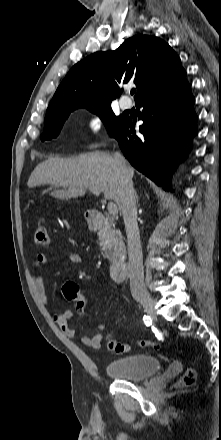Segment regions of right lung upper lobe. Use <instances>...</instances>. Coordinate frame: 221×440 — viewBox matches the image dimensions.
<instances>
[{"label": "right lung upper lobe", "instance_id": "cb5924a9", "mask_svg": "<svg viewBox=\"0 0 221 440\" xmlns=\"http://www.w3.org/2000/svg\"><path fill=\"white\" fill-rule=\"evenodd\" d=\"M176 52L163 40L136 35L116 50L96 52L75 64L56 90L47 111L70 105L97 107L110 104L122 89L134 82L136 102L185 79Z\"/></svg>", "mask_w": 221, "mask_h": 440}]
</instances>
